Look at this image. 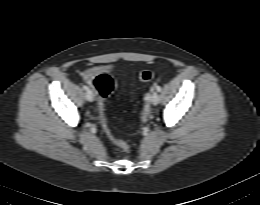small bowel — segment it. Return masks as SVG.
<instances>
[{"label": "small bowel", "instance_id": "obj_1", "mask_svg": "<svg viewBox=\"0 0 260 205\" xmlns=\"http://www.w3.org/2000/svg\"><path fill=\"white\" fill-rule=\"evenodd\" d=\"M99 73H107L112 76L113 68L110 65L94 66L84 69L81 76L88 85L93 86L94 79Z\"/></svg>", "mask_w": 260, "mask_h": 205}]
</instances>
